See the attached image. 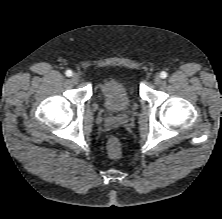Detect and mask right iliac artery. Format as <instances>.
Instances as JSON below:
<instances>
[{
    "label": "right iliac artery",
    "mask_w": 222,
    "mask_h": 219,
    "mask_svg": "<svg viewBox=\"0 0 222 219\" xmlns=\"http://www.w3.org/2000/svg\"><path fill=\"white\" fill-rule=\"evenodd\" d=\"M65 74H66V76L70 77V76H72V71L71 70H67Z\"/></svg>",
    "instance_id": "right-iliac-artery-1"
}]
</instances>
